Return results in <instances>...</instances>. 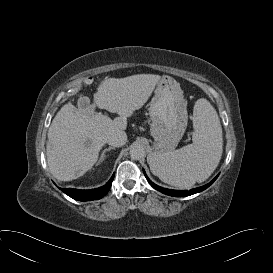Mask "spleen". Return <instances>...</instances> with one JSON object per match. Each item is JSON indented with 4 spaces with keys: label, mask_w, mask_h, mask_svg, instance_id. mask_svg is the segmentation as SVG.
Here are the masks:
<instances>
[{
    "label": "spleen",
    "mask_w": 273,
    "mask_h": 273,
    "mask_svg": "<svg viewBox=\"0 0 273 273\" xmlns=\"http://www.w3.org/2000/svg\"><path fill=\"white\" fill-rule=\"evenodd\" d=\"M192 144L148 156L151 172L172 186L187 188L208 179L217 168L223 151L222 127L213 106L204 98L193 111Z\"/></svg>",
    "instance_id": "3e777b00"
}]
</instances>
